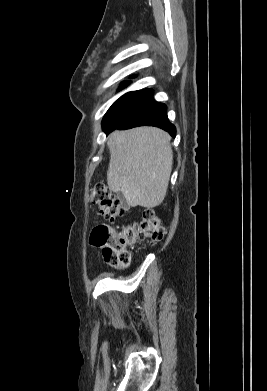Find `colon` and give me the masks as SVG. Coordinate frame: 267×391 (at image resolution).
<instances>
[{
	"label": "colon",
	"mask_w": 267,
	"mask_h": 391,
	"mask_svg": "<svg viewBox=\"0 0 267 391\" xmlns=\"http://www.w3.org/2000/svg\"><path fill=\"white\" fill-rule=\"evenodd\" d=\"M89 201L109 220H115L125 214V207L121 200L102 183L92 186ZM164 234V226L155 212L144 209L139 220L120 230H115L107 224L95 227L90 234V243L102 248L103 258L107 263L119 268H127L131 263L129 247L136 241L157 242L164 237Z\"/></svg>",
	"instance_id": "colon-1"
}]
</instances>
